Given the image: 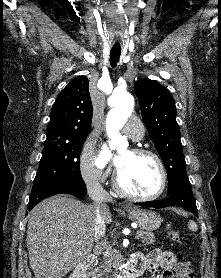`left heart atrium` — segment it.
I'll use <instances>...</instances> for the list:
<instances>
[{
    "mask_svg": "<svg viewBox=\"0 0 221 278\" xmlns=\"http://www.w3.org/2000/svg\"><path fill=\"white\" fill-rule=\"evenodd\" d=\"M103 158H104V160H110L111 159V156L108 154L106 149H104ZM113 161L117 166L119 165V158L118 157L113 158Z\"/></svg>",
    "mask_w": 221,
    "mask_h": 278,
    "instance_id": "obj_1",
    "label": "left heart atrium"
}]
</instances>
